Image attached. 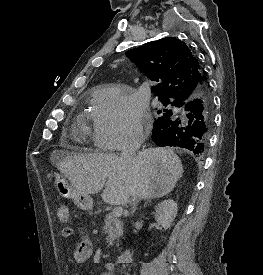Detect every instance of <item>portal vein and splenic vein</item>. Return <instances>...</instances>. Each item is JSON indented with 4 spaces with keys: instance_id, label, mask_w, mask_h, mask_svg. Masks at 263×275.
<instances>
[{
    "instance_id": "portal-vein-and-splenic-vein-1",
    "label": "portal vein and splenic vein",
    "mask_w": 263,
    "mask_h": 275,
    "mask_svg": "<svg viewBox=\"0 0 263 275\" xmlns=\"http://www.w3.org/2000/svg\"><path fill=\"white\" fill-rule=\"evenodd\" d=\"M115 217H120L123 214V208L121 206L115 207L112 211Z\"/></svg>"
}]
</instances>
